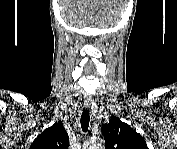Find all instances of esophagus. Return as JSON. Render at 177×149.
<instances>
[{
  "label": "esophagus",
  "mask_w": 177,
  "mask_h": 149,
  "mask_svg": "<svg viewBox=\"0 0 177 149\" xmlns=\"http://www.w3.org/2000/svg\"><path fill=\"white\" fill-rule=\"evenodd\" d=\"M90 105H91V103H90L89 101H86V102L84 103V106H85L86 108H89Z\"/></svg>",
  "instance_id": "obj_1"
}]
</instances>
